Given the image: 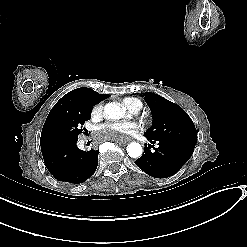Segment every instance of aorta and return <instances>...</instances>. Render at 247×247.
<instances>
[{
	"label": "aorta",
	"instance_id": "1",
	"mask_svg": "<svg viewBox=\"0 0 247 247\" xmlns=\"http://www.w3.org/2000/svg\"><path fill=\"white\" fill-rule=\"evenodd\" d=\"M104 114L108 119H120L125 116V109L116 103H107L104 107ZM127 153L132 158L142 156L143 149L139 143L132 142L127 146Z\"/></svg>",
	"mask_w": 247,
	"mask_h": 247
}]
</instances>
